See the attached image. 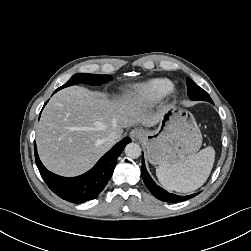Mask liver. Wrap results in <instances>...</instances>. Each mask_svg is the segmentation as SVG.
<instances>
[{"mask_svg": "<svg viewBox=\"0 0 251 251\" xmlns=\"http://www.w3.org/2000/svg\"><path fill=\"white\" fill-rule=\"evenodd\" d=\"M165 110L153 113L131 93L109 100L84 87L65 88L42 112L36 134L40 159L57 174H83L112 147L107 141L110 133L121 136L123 128L135 124L155 126Z\"/></svg>", "mask_w": 251, "mask_h": 251, "instance_id": "6515ba94", "label": "liver"}]
</instances>
